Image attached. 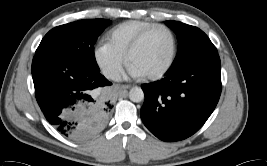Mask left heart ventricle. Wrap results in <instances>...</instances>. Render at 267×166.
<instances>
[{
	"label": "left heart ventricle",
	"mask_w": 267,
	"mask_h": 166,
	"mask_svg": "<svg viewBox=\"0 0 267 166\" xmlns=\"http://www.w3.org/2000/svg\"><path fill=\"white\" fill-rule=\"evenodd\" d=\"M171 51V39L165 32L151 35L134 54V63L144 70L157 71L168 60ZM149 59V61H147Z\"/></svg>",
	"instance_id": "left-heart-ventricle-1"
}]
</instances>
